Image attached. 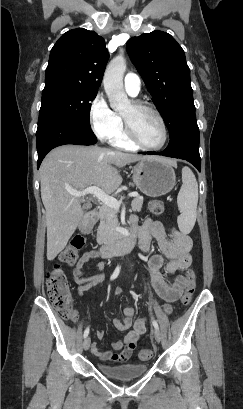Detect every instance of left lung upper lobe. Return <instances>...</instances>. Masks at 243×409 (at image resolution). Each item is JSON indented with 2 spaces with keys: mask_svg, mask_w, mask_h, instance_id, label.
I'll return each mask as SVG.
<instances>
[{
  "mask_svg": "<svg viewBox=\"0 0 243 409\" xmlns=\"http://www.w3.org/2000/svg\"><path fill=\"white\" fill-rule=\"evenodd\" d=\"M126 49L171 138L182 120L195 114L190 69L183 49L170 34L162 31L132 37Z\"/></svg>",
  "mask_w": 243,
  "mask_h": 409,
  "instance_id": "5c2ea615",
  "label": "left lung upper lobe"
}]
</instances>
